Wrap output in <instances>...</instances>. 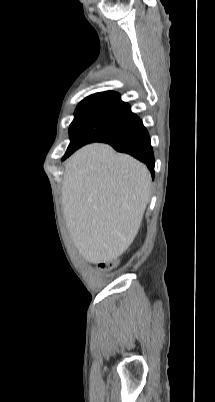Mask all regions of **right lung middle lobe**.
<instances>
[{
	"mask_svg": "<svg viewBox=\"0 0 215 402\" xmlns=\"http://www.w3.org/2000/svg\"><path fill=\"white\" fill-rule=\"evenodd\" d=\"M139 118L126 102L109 96H89L75 110L69 129L70 145L65 154L91 143L114 140Z\"/></svg>",
	"mask_w": 215,
	"mask_h": 402,
	"instance_id": "1",
	"label": "right lung middle lobe"
}]
</instances>
